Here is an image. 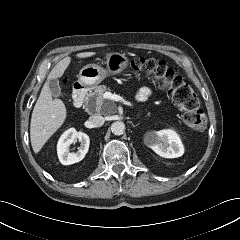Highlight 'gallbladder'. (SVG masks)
I'll return each mask as SVG.
<instances>
[{
    "label": "gallbladder",
    "mask_w": 240,
    "mask_h": 240,
    "mask_svg": "<svg viewBox=\"0 0 240 240\" xmlns=\"http://www.w3.org/2000/svg\"><path fill=\"white\" fill-rule=\"evenodd\" d=\"M48 84L52 96L59 97L62 95L61 88L59 86V81L57 79L49 80Z\"/></svg>",
    "instance_id": "bac80fb5"
}]
</instances>
